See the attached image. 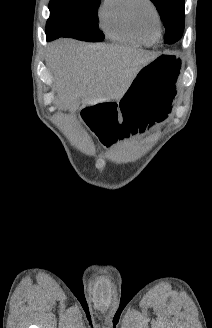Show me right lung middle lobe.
<instances>
[{
  "label": "right lung middle lobe",
  "mask_w": 212,
  "mask_h": 328,
  "mask_svg": "<svg viewBox=\"0 0 212 328\" xmlns=\"http://www.w3.org/2000/svg\"><path fill=\"white\" fill-rule=\"evenodd\" d=\"M100 0H51L50 18L46 24L49 40L72 37L83 41L99 42L105 36L98 27Z\"/></svg>",
  "instance_id": "dd1d6c3e"
}]
</instances>
